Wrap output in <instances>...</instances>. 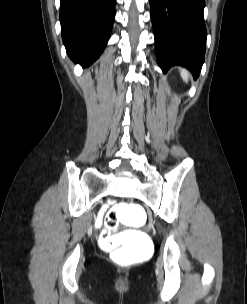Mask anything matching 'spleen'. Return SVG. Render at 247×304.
I'll use <instances>...</instances> for the list:
<instances>
[{
  "label": "spleen",
  "instance_id": "3e777b00",
  "mask_svg": "<svg viewBox=\"0 0 247 304\" xmlns=\"http://www.w3.org/2000/svg\"><path fill=\"white\" fill-rule=\"evenodd\" d=\"M179 71L182 79L187 82L189 79V72L184 68H179Z\"/></svg>",
  "mask_w": 247,
  "mask_h": 304
}]
</instances>
